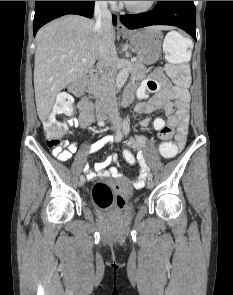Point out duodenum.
<instances>
[{"label":"duodenum","mask_w":233,"mask_h":295,"mask_svg":"<svg viewBox=\"0 0 233 295\" xmlns=\"http://www.w3.org/2000/svg\"><path fill=\"white\" fill-rule=\"evenodd\" d=\"M97 75H98V70L96 68H94L90 71L89 89L92 92H95L94 85H95V80L97 78ZM127 95H128V97H132L133 89L130 88L127 92ZM96 112H97V115L100 117L105 116V113H106L105 112V101L98 93H96Z\"/></svg>","instance_id":"duodenum-1"}]
</instances>
